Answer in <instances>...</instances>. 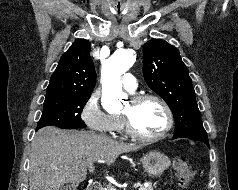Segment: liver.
<instances>
[{
    "mask_svg": "<svg viewBox=\"0 0 238 190\" xmlns=\"http://www.w3.org/2000/svg\"><path fill=\"white\" fill-rule=\"evenodd\" d=\"M141 148L91 132L44 127L31 143L29 190H62L66 183L84 181L95 161L111 165L119 155Z\"/></svg>",
    "mask_w": 238,
    "mask_h": 190,
    "instance_id": "6515ba94",
    "label": "liver"
}]
</instances>
